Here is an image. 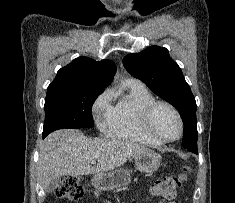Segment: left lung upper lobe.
Here are the masks:
<instances>
[{"label": "left lung upper lobe", "instance_id": "1", "mask_svg": "<svg viewBox=\"0 0 235 203\" xmlns=\"http://www.w3.org/2000/svg\"><path fill=\"white\" fill-rule=\"evenodd\" d=\"M126 70L143 81L155 94L173 105L180 113L184 129L193 135L188 149L197 150L196 101L178 64L164 47L151 46L124 57Z\"/></svg>", "mask_w": 235, "mask_h": 203}]
</instances>
